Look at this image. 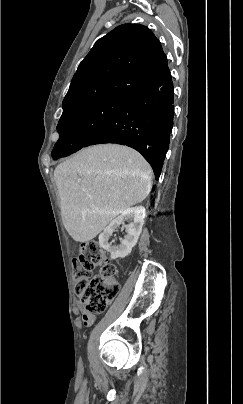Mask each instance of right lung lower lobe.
<instances>
[{"label": "right lung lower lobe", "instance_id": "98d812e1", "mask_svg": "<svg viewBox=\"0 0 243 404\" xmlns=\"http://www.w3.org/2000/svg\"><path fill=\"white\" fill-rule=\"evenodd\" d=\"M173 103L170 75L161 86L128 98L87 146L117 143L132 147L150 163L158 180L173 127Z\"/></svg>", "mask_w": 243, "mask_h": 404}]
</instances>
